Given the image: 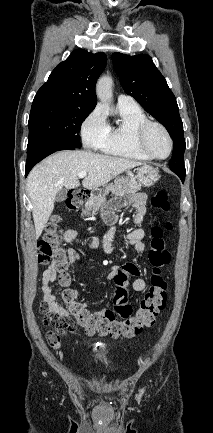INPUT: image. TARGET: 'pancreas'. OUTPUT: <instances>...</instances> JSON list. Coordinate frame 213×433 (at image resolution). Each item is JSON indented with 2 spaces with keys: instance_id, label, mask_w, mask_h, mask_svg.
I'll return each mask as SVG.
<instances>
[{
  "instance_id": "1",
  "label": "pancreas",
  "mask_w": 213,
  "mask_h": 433,
  "mask_svg": "<svg viewBox=\"0 0 213 433\" xmlns=\"http://www.w3.org/2000/svg\"><path fill=\"white\" fill-rule=\"evenodd\" d=\"M141 190V186L130 177H118L115 179L114 184H108L102 195L97 196L93 201L85 206L83 216L95 215L99 209L106 203V195L111 192L115 196H123L127 194H135ZM92 212V213H91Z\"/></svg>"
}]
</instances>
